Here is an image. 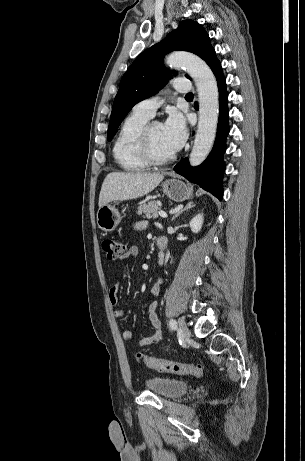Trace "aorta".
Instances as JSON below:
<instances>
[{
  "label": "aorta",
  "instance_id": "obj_1",
  "mask_svg": "<svg viewBox=\"0 0 305 461\" xmlns=\"http://www.w3.org/2000/svg\"><path fill=\"white\" fill-rule=\"evenodd\" d=\"M166 63L170 67L185 68L197 87L199 122L189 162L198 166L209 154L216 136L219 114L217 82L209 66L193 54L175 52L167 57Z\"/></svg>",
  "mask_w": 305,
  "mask_h": 461
}]
</instances>
